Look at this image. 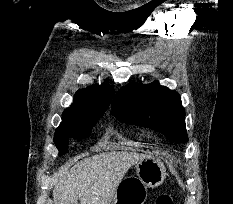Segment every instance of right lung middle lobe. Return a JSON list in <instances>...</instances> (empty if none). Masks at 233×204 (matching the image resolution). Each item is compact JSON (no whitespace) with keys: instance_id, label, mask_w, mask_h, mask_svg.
<instances>
[{"instance_id":"1","label":"right lung middle lobe","mask_w":233,"mask_h":204,"mask_svg":"<svg viewBox=\"0 0 233 204\" xmlns=\"http://www.w3.org/2000/svg\"><path fill=\"white\" fill-rule=\"evenodd\" d=\"M100 117H102V115L92 116L56 129L54 142L59 150V155L67 151L69 137L76 139L87 138L91 133L92 127L97 123Z\"/></svg>"}]
</instances>
